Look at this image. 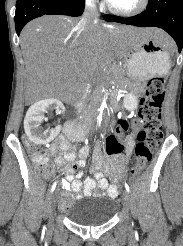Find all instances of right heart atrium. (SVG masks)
I'll use <instances>...</instances> for the list:
<instances>
[{
    "instance_id": "d8ad5b80",
    "label": "right heart atrium",
    "mask_w": 183,
    "mask_h": 246,
    "mask_svg": "<svg viewBox=\"0 0 183 246\" xmlns=\"http://www.w3.org/2000/svg\"><path fill=\"white\" fill-rule=\"evenodd\" d=\"M88 1L95 2V1H97V0H88Z\"/></svg>"
}]
</instances>
